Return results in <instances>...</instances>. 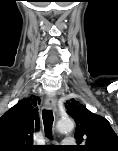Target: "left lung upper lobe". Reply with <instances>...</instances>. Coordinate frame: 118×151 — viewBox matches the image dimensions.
<instances>
[{"instance_id":"1","label":"left lung upper lobe","mask_w":118,"mask_h":151,"mask_svg":"<svg viewBox=\"0 0 118 151\" xmlns=\"http://www.w3.org/2000/svg\"><path fill=\"white\" fill-rule=\"evenodd\" d=\"M67 109L76 122L75 138L80 144L78 150L118 151V136L104 117L92 113L73 99Z\"/></svg>"}]
</instances>
